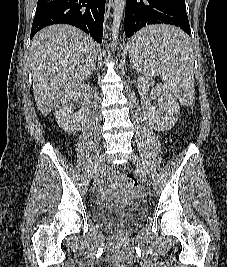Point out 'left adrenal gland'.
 <instances>
[{
  "label": "left adrenal gland",
  "mask_w": 227,
  "mask_h": 267,
  "mask_svg": "<svg viewBox=\"0 0 227 267\" xmlns=\"http://www.w3.org/2000/svg\"><path fill=\"white\" fill-rule=\"evenodd\" d=\"M130 63H131L130 68L135 69L136 67L135 65L132 64V61H130Z\"/></svg>",
  "instance_id": "a2214340"
}]
</instances>
